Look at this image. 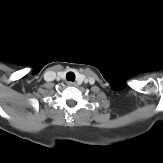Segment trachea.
Instances as JSON below:
<instances>
[{
  "label": "trachea",
  "instance_id": "obj_1",
  "mask_svg": "<svg viewBox=\"0 0 163 163\" xmlns=\"http://www.w3.org/2000/svg\"><path fill=\"white\" fill-rule=\"evenodd\" d=\"M66 79H67V81H72L73 82L75 80V74L73 72H68L66 74Z\"/></svg>",
  "mask_w": 163,
  "mask_h": 163
}]
</instances>
